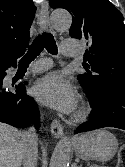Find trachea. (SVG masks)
Here are the masks:
<instances>
[{
    "instance_id": "obj_1",
    "label": "trachea",
    "mask_w": 125,
    "mask_h": 167,
    "mask_svg": "<svg viewBox=\"0 0 125 167\" xmlns=\"http://www.w3.org/2000/svg\"><path fill=\"white\" fill-rule=\"evenodd\" d=\"M44 48L51 54H57L56 42L49 32H44L34 39L27 53L20 60V65H29Z\"/></svg>"
}]
</instances>
